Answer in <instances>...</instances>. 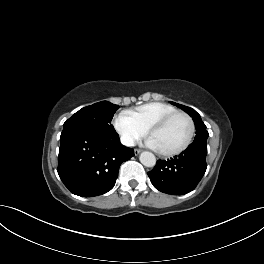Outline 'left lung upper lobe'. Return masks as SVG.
<instances>
[{
    "instance_id": "5c2ea615",
    "label": "left lung upper lobe",
    "mask_w": 264,
    "mask_h": 264,
    "mask_svg": "<svg viewBox=\"0 0 264 264\" xmlns=\"http://www.w3.org/2000/svg\"><path fill=\"white\" fill-rule=\"evenodd\" d=\"M172 104L181 108L185 112H187L194 120L196 126V136L193 143H203L206 144L207 138L209 136L208 131L206 130V125L202 122L200 115L193 109L175 102Z\"/></svg>"
}]
</instances>
